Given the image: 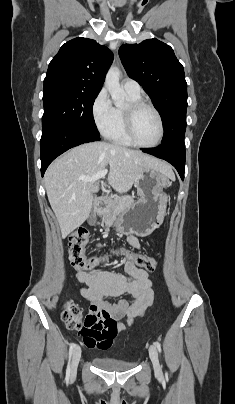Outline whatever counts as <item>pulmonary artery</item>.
Instances as JSON below:
<instances>
[{
    "mask_svg": "<svg viewBox=\"0 0 235 404\" xmlns=\"http://www.w3.org/2000/svg\"><path fill=\"white\" fill-rule=\"evenodd\" d=\"M123 88L127 93L130 94H134V95H138L141 92V87L138 84V82H136L133 79H124L122 82Z\"/></svg>",
    "mask_w": 235,
    "mask_h": 404,
    "instance_id": "obj_1",
    "label": "pulmonary artery"
}]
</instances>
